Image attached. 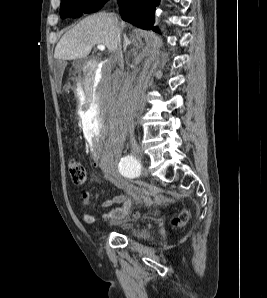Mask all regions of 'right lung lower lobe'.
Wrapping results in <instances>:
<instances>
[{"label":"right lung lower lobe","instance_id":"right-lung-lower-lobe-1","mask_svg":"<svg viewBox=\"0 0 267 298\" xmlns=\"http://www.w3.org/2000/svg\"><path fill=\"white\" fill-rule=\"evenodd\" d=\"M123 20L143 29H154V11L160 0H117Z\"/></svg>","mask_w":267,"mask_h":298}]
</instances>
